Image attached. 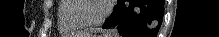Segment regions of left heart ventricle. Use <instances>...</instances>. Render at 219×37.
Instances as JSON below:
<instances>
[{
  "instance_id": "obj_1",
  "label": "left heart ventricle",
  "mask_w": 219,
  "mask_h": 37,
  "mask_svg": "<svg viewBox=\"0 0 219 37\" xmlns=\"http://www.w3.org/2000/svg\"><path fill=\"white\" fill-rule=\"evenodd\" d=\"M79 9L76 17L84 21H92L98 19L105 9V1L103 0H79Z\"/></svg>"
}]
</instances>
